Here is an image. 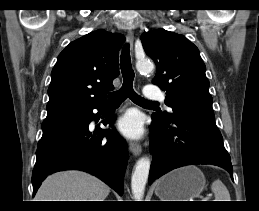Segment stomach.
<instances>
[{"label": "stomach", "instance_id": "1", "mask_svg": "<svg viewBox=\"0 0 259 211\" xmlns=\"http://www.w3.org/2000/svg\"><path fill=\"white\" fill-rule=\"evenodd\" d=\"M205 183L199 168L186 166L160 178L155 184V194L161 201H188L203 191Z\"/></svg>", "mask_w": 259, "mask_h": 211}]
</instances>
